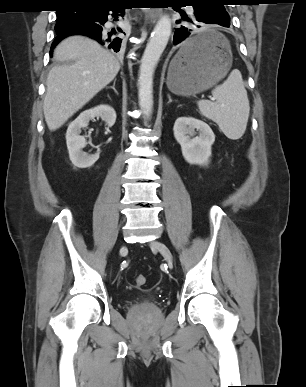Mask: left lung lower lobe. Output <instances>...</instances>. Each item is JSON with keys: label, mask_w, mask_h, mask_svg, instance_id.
Instances as JSON below:
<instances>
[{"label": "left lung lower lobe", "mask_w": 306, "mask_h": 387, "mask_svg": "<svg viewBox=\"0 0 306 387\" xmlns=\"http://www.w3.org/2000/svg\"><path fill=\"white\" fill-rule=\"evenodd\" d=\"M184 6H192L193 17L189 18L185 12L182 13V20L185 22H190L194 26L200 27L196 25L197 22H202L206 24H216L223 27L230 26V20H224L217 16L212 5L206 2L200 3H192V2H184L182 3ZM181 8L180 6L177 7ZM178 23L180 21H177ZM193 30L188 26H179L174 31L173 43L175 45L182 42L181 53L182 57L185 60H191L199 57L204 54L212 47L213 39L210 36H204L198 40H192L190 38V34Z\"/></svg>", "instance_id": "obj_1"}]
</instances>
